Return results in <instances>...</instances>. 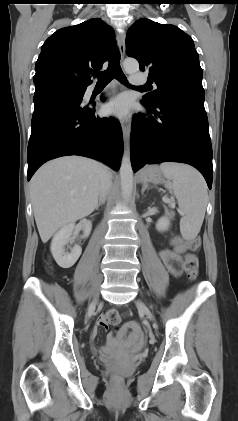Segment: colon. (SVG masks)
Segmentation results:
<instances>
[{
    "instance_id": "colon-1",
    "label": "colon",
    "mask_w": 238,
    "mask_h": 421,
    "mask_svg": "<svg viewBox=\"0 0 238 421\" xmlns=\"http://www.w3.org/2000/svg\"><path fill=\"white\" fill-rule=\"evenodd\" d=\"M184 243L191 252H194L199 249L201 240L198 236H193V237L185 238ZM184 269L189 279L193 280L197 277L198 269H199V260L195 254L189 253L186 255L185 260H184ZM110 320H111V324L117 325L120 322L119 314H111ZM121 380L122 379L120 376L118 375L113 376L114 385L118 386L121 383Z\"/></svg>"
}]
</instances>
